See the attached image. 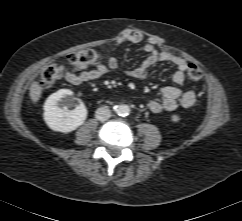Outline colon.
<instances>
[{"mask_svg": "<svg viewBox=\"0 0 242 221\" xmlns=\"http://www.w3.org/2000/svg\"><path fill=\"white\" fill-rule=\"evenodd\" d=\"M101 57V51L88 49L71 54L69 56V61L76 68H82L96 62ZM187 75L192 81H199L203 76L201 69L194 64L188 66ZM62 76L63 68L56 63L50 64L41 72L39 84L43 90L50 89L62 78Z\"/></svg>", "mask_w": 242, "mask_h": 221, "instance_id": "obj_1", "label": "colon"}]
</instances>
